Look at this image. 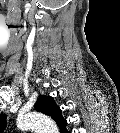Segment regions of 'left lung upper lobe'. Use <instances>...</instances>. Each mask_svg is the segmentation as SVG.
Returning a JSON list of instances; mask_svg holds the SVG:
<instances>
[{
	"label": "left lung upper lobe",
	"mask_w": 120,
	"mask_h": 133,
	"mask_svg": "<svg viewBox=\"0 0 120 133\" xmlns=\"http://www.w3.org/2000/svg\"><path fill=\"white\" fill-rule=\"evenodd\" d=\"M34 108L38 112H42L48 116H51L52 119L55 120V122L58 124L59 127L66 125V121L61 116V110L55 105L51 97L40 96ZM5 119H6V116L2 115L1 123H0L2 130L5 128Z\"/></svg>",
	"instance_id": "left-lung-upper-lobe-1"
}]
</instances>
